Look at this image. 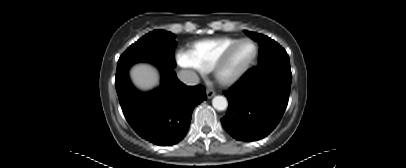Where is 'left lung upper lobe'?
Returning a JSON list of instances; mask_svg holds the SVG:
<instances>
[{
	"label": "left lung upper lobe",
	"instance_id": "obj_1",
	"mask_svg": "<svg viewBox=\"0 0 406 168\" xmlns=\"http://www.w3.org/2000/svg\"><path fill=\"white\" fill-rule=\"evenodd\" d=\"M245 32L260 43L259 63H276L290 66L288 54L277 42L262 34Z\"/></svg>",
	"mask_w": 406,
	"mask_h": 168
}]
</instances>
